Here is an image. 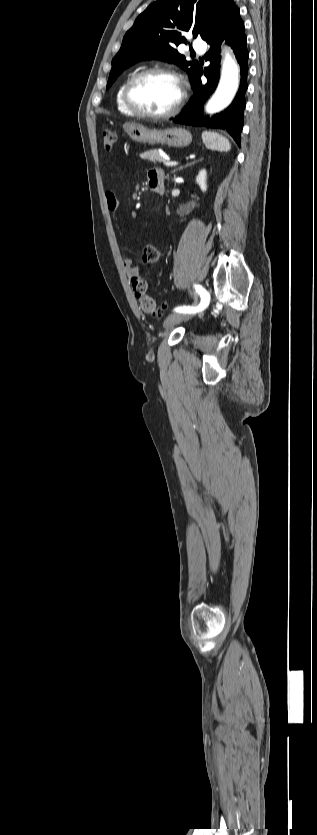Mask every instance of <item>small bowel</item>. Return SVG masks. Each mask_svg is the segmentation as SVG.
I'll use <instances>...</instances> for the list:
<instances>
[{"label": "small bowel", "instance_id": "small-bowel-1", "mask_svg": "<svg viewBox=\"0 0 317 835\" xmlns=\"http://www.w3.org/2000/svg\"><path fill=\"white\" fill-rule=\"evenodd\" d=\"M148 182H149V185L151 183L156 182V183L160 184L164 189V183H165L164 172L160 169L150 170L149 173H148ZM105 199H106V204H107L108 210L110 212H116L118 210V206H119L118 199H117L116 195L111 191H107L106 194H105ZM150 246L151 245H146L143 248V251H142V259H143V262H144L145 265H148V264L153 262V260H150L148 258V249L150 248ZM122 265H123L124 269L126 270V272L129 276L132 277L134 275H139L140 270H141L140 267L137 266L130 258L122 259Z\"/></svg>", "mask_w": 317, "mask_h": 835}]
</instances>
